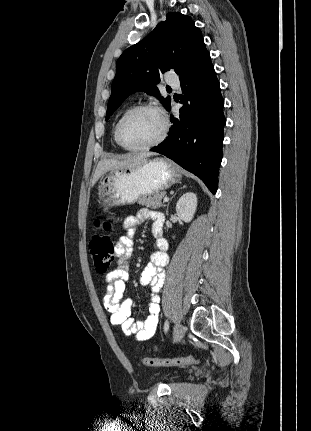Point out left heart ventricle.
Instances as JSON below:
<instances>
[{"instance_id": "b2bd125f", "label": "left heart ventricle", "mask_w": 311, "mask_h": 431, "mask_svg": "<svg viewBox=\"0 0 311 431\" xmlns=\"http://www.w3.org/2000/svg\"><path fill=\"white\" fill-rule=\"evenodd\" d=\"M163 123L158 112L144 110L130 117L123 126L125 141L130 146H142L155 140L162 132Z\"/></svg>"}]
</instances>
